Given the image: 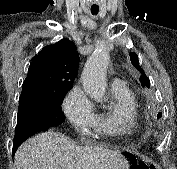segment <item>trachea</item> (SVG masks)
Instances as JSON below:
<instances>
[{
	"instance_id": "1",
	"label": "trachea",
	"mask_w": 177,
	"mask_h": 169,
	"mask_svg": "<svg viewBox=\"0 0 177 169\" xmlns=\"http://www.w3.org/2000/svg\"><path fill=\"white\" fill-rule=\"evenodd\" d=\"M98 11H99V7H91L92 15H97Z\"/></svg>"
}]
</instances>
